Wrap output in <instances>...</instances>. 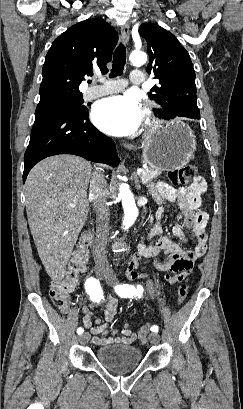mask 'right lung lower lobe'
<instances>
[{"label": "right lung lower lobe", "mask_w": 243, "mask_h": 409, "mask_svg": "<svg viewBox=\"0 0 243 409\" xmlns=\"http://www.w3.org/2000/svg\"><path fill=\"white\" fill-rule=\"evenodd\" d=\"M57 154H74L111 166L119 163L115 143L91 124L88 112L38 109L24 155L23 182L36 163Z\"/></svg>", "instance_id": "obj_1"}]
</instances>
